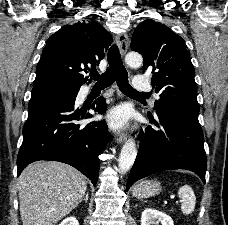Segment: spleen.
<instances>
[{
    "label": "spleen",
    "instance_id": "spleen-1",
    "mask_svg": "<svg viewBox=\"0 0 228 225\" xmlns=\"http://www.w3.org/2000/svg\"><path fill=\"white\" fill-rule=\"evenodd\" d=\"M178 195L181 199L180 203L183 215H190V213H193L196 205V197L190 185H184V187H180Z\"/></svg>",
    "mask_w": 228,
    "mask_h": 225
}]
</instances>
